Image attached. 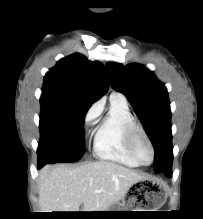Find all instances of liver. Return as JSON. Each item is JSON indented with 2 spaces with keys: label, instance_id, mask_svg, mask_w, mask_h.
Here are the masks:
<instances>
[{
  "label": "liver",
  "instance_id": "6515ba94",
  "mask_svg": "<svg viewBox=\"0 0 203 219\" xmlns=\"http://www.w3.org/2000/svg\"><path fill=\"white\" fill-rule=\"evenodd\" d=\"M147 176L110 161L69 166L46 165L39 174V205L43 212L106 211L123 200Z\"/></svg>",
  "mask_w": 203,
  "mask_h": 219
}]
</instances>
